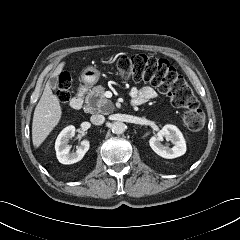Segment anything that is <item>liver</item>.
<instances>
[{
  "label": "liver",
  "mask_w": 240,
  "mask_h": 240,
  "mask_svg": "<svg viewBox=\"0 0 240 240\" xmlns=\"http://www.w3.org/2000/svg\"><path fill=\"white\" fill-rule=\"evenodd\" d=\"M64 65L65 62H61L51 74V78L57 77L62 72ZM61 115L62 110L59 99L53 95L48 82L33 115L32 141L36 148L44 142L50 132L59 123Z\"/></svg>",
  "instance_id": "6515ba94"
}]
</instances>
